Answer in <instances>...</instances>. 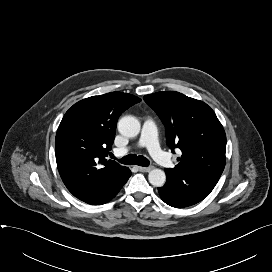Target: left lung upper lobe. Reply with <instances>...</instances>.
I'll return each mask as SVG.
<instances>
[{"instance_id":"1","label":"left lung upper lobe","mask_w":272,"mask_h":272,"mask_svg":"<svg viewBox=\"0 0 272 272\" xmlns=\"http://www.w3.org/2000/svg\"><path fill=\"white\" fill-rule=\"evenodd\" d=\"M166 128L167 144L182 151L179 163L168 170L220 178L225 167L226 135L214 111L204 102L179 92L143 97Z\"/></svg>"}]
</instances>
